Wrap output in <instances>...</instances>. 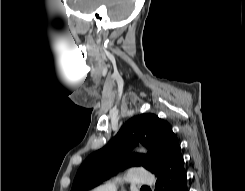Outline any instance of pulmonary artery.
<instances>
[{
	"label": "pulmonary artery",
	"instance_id": "pulmonary-artery-1",
	"mask_svg": "<svg viewBox=\"0 0 245 191\" xmlns=\"http://www.w3.org/2000/svg\"><path fill=\"white\" fill-rule=\"evenodd\" d=\"M122 181L136 186H149L154 182V177L152 173L143 168H132L123 178L107 182L94 188L92 191H116Z\"/></svg>",
	"mask_w": 245,
	"mask_h": 191
}]
</instances>
